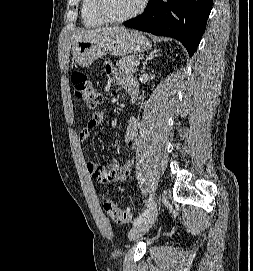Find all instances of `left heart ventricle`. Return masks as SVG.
I'll use <instances>...</instances> for the list:
<instances>
[{
	"label": "left heart ventricle",
	"mask_w": 253,
	"mask_h": 271,
	"mask_svg": "<svg viewBox=\"0 0 253 271\" xmlns=\"http://www.w3.org/2000/svg\"><path fill=\"white\" fill-rule=\"evenodd\" d=\"M108 11L117 17L124 16L132 12L141 0H106Z\"/></svg>",
	"instance_id": "b2bd125f"
}]
</instances>
